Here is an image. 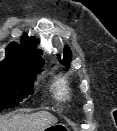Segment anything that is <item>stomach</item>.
I'll use <instances>...</instances> for the list:
<instances>
[{
  "instance_id": "obj_1",
  "label": "stomach",
  "mask_w": 117,
  "mask_h": 131,
  "mask_svg": "<svg viewBox=\"0 0 117 131\" xmlns=\"http://www.w3.org/2000/svg\"><path fill=\"white\" fill-rule=\"evenodd\" d=\"M46 131H69V128L65 124L56 123L46 127Z\"/></svg>"
}]
</instances>
